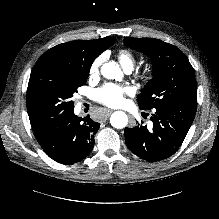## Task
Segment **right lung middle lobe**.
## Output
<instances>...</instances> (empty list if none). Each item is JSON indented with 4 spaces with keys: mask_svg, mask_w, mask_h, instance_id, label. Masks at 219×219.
Masks as SVG:
<instances>
[{
    "mask_svg": "<svg viewBox=\"0 0 219 219\" xmlns=\"http://www.w3.org/2000/svg\"><path fill=\"white\" fill-rule=\"evenodd\" d=\"M88 70L69 66L56 58L39 59L28 83L26 104L32 127L74 109L71 98L86 84Z\"/></svg>",
    "mask_w": 219,
    "mask_h": 219,
    "instance_id": "1",
    "label": "right lung middle lobe"
}]
</instances>
